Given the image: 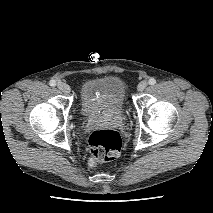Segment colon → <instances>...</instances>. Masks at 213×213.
<instances>
[{
  "label": "colon",
  "instance_id": "1",
  "mask_svg": "<svg viewBox=\"0 0 213 213\" xmlns=\"http://www.w3.org/2000/svg\"><path fill=\"white\" fill-rule=\"evenodd\" d=\"M89 165L97 162L111 161L118 157L122 141L120 134L113 129H100L91 133L89 140Z\"/></svg>",
  "mask_w": 213,
  "mask_h": 213
}]
</instances>
